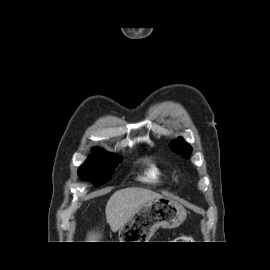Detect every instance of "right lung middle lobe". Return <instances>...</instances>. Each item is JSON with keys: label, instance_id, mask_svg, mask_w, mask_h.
<instances>
[{"label": "right lung middle lobe", "instance_id": "1", "mask_svg": "<svg viewBox=\"0 0 270 270\" xmlns=\"http://www.w3.org/2000/svg\"><path fill=\"white\" fill-rule=\"evenodd\" d=\"M121 160V156L95 149L93 155L79 168V176L93 182L95 186H100L110 179Z\"/></svg>", "mask_w": 270, "mask_h": 270}]
</instances>
